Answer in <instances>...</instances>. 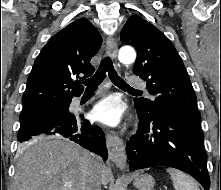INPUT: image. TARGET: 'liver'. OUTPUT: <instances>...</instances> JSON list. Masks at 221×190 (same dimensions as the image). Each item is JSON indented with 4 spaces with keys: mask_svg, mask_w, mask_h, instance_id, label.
Instances as JSON below:
<instances>
[{
    "mask_svg": "<svg viewBox=\"0 0 221 190\" xmlns=\"http://www.w3.org/2000/svg\"><path fill=\"white\" fill-rule=\"evenodd\" d=\"M14 190H86L90 164L95 155L74 142L58 137H37L19 151ZM102 184L110 180L103 165ZM71 183V187L66 184Z\"/></svg>",
    "mask_w": 221,
    "mask_h": 190,
    "instance_id": "liver-1",
    "label": "liver"
}]
</instances>
